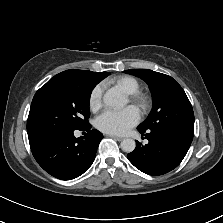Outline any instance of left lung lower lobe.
<instances>
[{
	"label": "left lung lower lobe",
	"mask_w": 223,
	"mask_h": 223,
	"mask_svg": "<svg viewBox=\"0 0 223 223\" xmlns=\"http://www.w3.org/2000/svg\"><path fill=\"white\" fill-rule=\"evenodd\" d=\"M137 129L149 142L141 146L136 141L135 150L127 157L136 168L149 175H162L176 168L193 140V136L172 130Z\"/></svg>",
	"instance_id": "obj_1"
}]
</instances>
